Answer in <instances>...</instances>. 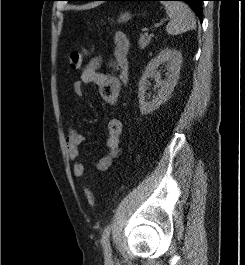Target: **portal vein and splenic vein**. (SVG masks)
I'll use <instances>...</instances> for the list:
<instances>
[{
  "mask_svg": "<svg viewBox=\"0 0 245 265\" xmlns=\"http://www.w3.org/2000/svg\"><path fill=\"white\" fill-rule=\"evenodd\" d=\"M161 25V23H157L156 25H155V27H159Z\"/></svg>",
  "mask_w": 245,
  "mask_h": 265,
  "instance_id": "1",
  "label": "portal vein and splenic vein"
}]
</instances>
